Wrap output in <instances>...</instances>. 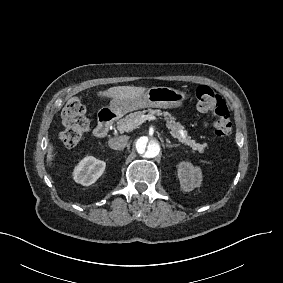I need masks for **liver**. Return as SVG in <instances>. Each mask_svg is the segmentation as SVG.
Masks as SVG:
<instances>
[{
	"label": "liver",
	"mask_w": 283,
	"mask_h": 283,
	"mask_svg": "<svg viewBox=\"0 0 283 283\" xmlns=\"http://www.w3.org/2000/svg\"><path fill=\"white\" fill-rule=\"evenodd\" d=\"M146 88L135 86H117L111 87L106 91H100L99 96L112 97V98H134L144 94ZM53 146L48 145L47 149V162H51L53 159Z\"/></svg>",
	"instance_id": "obj_1"
}]
</instances>
